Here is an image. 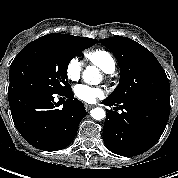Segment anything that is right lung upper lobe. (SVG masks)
Masks as SVG:
<instances>
[{"label": "right lung upper lobe", "instance_id": "right-lung-upper-lobe-1", "mask_svg": "<svg viewBox=\"0 0 178 178\" xmlns=\"http://www.w3.org/2000/svg\"><path fill=\"white\" fill-rule=\"evenodd\" d=\"M43 37H56V38H66V39H76L80 38L78 36H73V35H67V34H48ZM97 43V39H92Z\"/></svg>", "mask_w": 178, "mask_h": 178}]
</instances>
